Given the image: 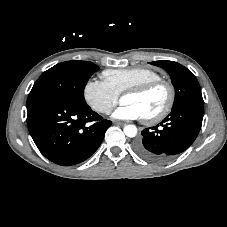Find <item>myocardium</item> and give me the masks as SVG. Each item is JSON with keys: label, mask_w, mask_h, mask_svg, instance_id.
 Here are the masks:
<instances>
[{"label": "myocardium", "mask_w": 227, "mask_h": 227, "mask_svg": "<svg viewBox=\"0 0 227 227\" xmlns=\"http://www.w3.org/2000/svg\"><path fill=\"white\" fill-rule=\"evenodd\" d=\"M160 86L165 87L167 90V94H168L167 101L164 107L158 113L148 117H143V120L146 123L159 122L163 120L171 112L175 102V89L172 83L168 80L160 78V79L152 80L147 83L141 84L139 86L130 88L123 93V96L125 95L141 96Z\"/></svg>", "instance_id": "myocardium-1"}]
</instances>
